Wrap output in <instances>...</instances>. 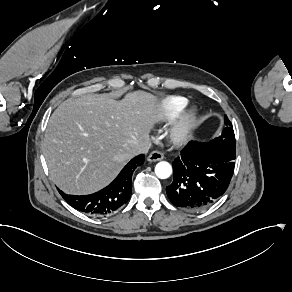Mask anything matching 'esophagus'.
<instances>
[{"instance_id": "obj_1", "label": "esophagus", "mask_w": 292, "mask_h": 292, "mask_svg": "<svg viewBox=\"0 0 292 292\" xmlns=\"http://www.w3.org/2000/svg\"><path fill=\"white\" fill-rule=\"evenodd\" d=\"M163 154L159 151H152L148 157L147 160L148 162H157L163 159Z\"/></svg>"}]
</instances>
